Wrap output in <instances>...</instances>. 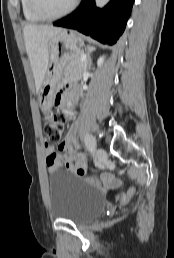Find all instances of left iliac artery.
<instances>
[{
	"label": "left iliac artery",
	"instance_id": "44dca946",
	"mask_svg": "<svg viewBox=\"0 0 174 258\" xmlns=\"http://www.w3.org/2000/svg\"><path fill=\"white\" fill-rule=\"evenodd\" d=\"M84 142H85L86 148H87L90 152H94V151H95L96 142H95V139H94L93 135H91V134L85 135V137H84Z\"/></svg>",
	"mask_w": 174,
	"mask_h": 258
}]
</instances>
